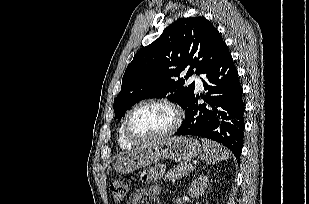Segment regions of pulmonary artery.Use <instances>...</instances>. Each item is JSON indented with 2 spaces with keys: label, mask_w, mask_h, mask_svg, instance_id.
<instances>
[{
  "label": "pulmonary artery",
  "mask_w": 309,
  "mask_h": 204,
  "mask_svg": "<svg viewBox=\"0 0 309 204\" xmlns=\"http://www.w3.org/2000/svg\"><path fill=\"white\" fill-rule=\"evenodd\" d=\"M189 81L194 82L197 89H203V82L199 75L191 76Z\"/></svg>",
  "instance_id": "pulmonary-artery-1"
}]
</instances>
